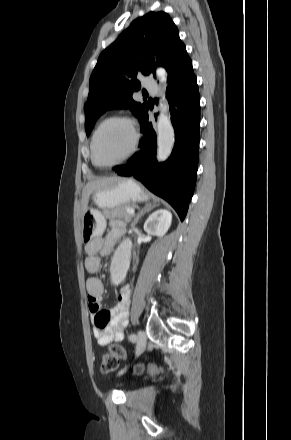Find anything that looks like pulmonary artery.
I'll return each instance as SVG.
<instances>
[{"label": "pulmonary artery", "instance_id": "e3ab8cb5", "mask_svg": "<svg viewBox=\"0 0 291 440\" xmlns=\"http://www.w3.org/2000/svg\"><path fill=\"white\" fill-rule=\"evenodd\" d=\"M143 83L153 94L158 93V89H157L156 84L153 81H151L147 75H144Z\"/></svg>", "mask_w": 291, "mask_h": 440}]
</instances>
